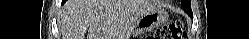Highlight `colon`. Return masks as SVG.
<instances>
[{"mask_svg":"<svg viewBox=\"0 0 249 39\" xmlns=\"http://www.w3.org/2000/svg\"><path fill=\"white\" fill-rule=\"evenodd\" d=\"M186 31L182 20H177L165 24L155 30L152 35L146 36L145 39H184Z\"/></svg>","mask_w":249,"mask_h":39,"instance_id":"obj_1","label":"colon"}]
</instances>
